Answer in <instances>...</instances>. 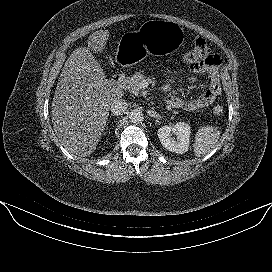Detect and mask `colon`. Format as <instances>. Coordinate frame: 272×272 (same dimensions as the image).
Masks as SVG:
<instances>
[{
	"instance_id": "colon-1",
	"label": "colon",
	"mask_w": 272,
	"mask_h": 272,
	"mask_svg": "<svg viewBox=\"0 0 272 272\" xmlns=\"http://www.w3.org/2000/svg\"><path fill=\"white\" fill-rule=\"evenodd\" d=\"M202 54H203L202 49L194 48L193 50L187 52L184 55L183 60L186 63L193 64V63L197 62L202 57ZM223 110H224V108L220 104L215 105L214 108H213V112L216 115L222 114Z\"/></svg>"
}]
</instances>
